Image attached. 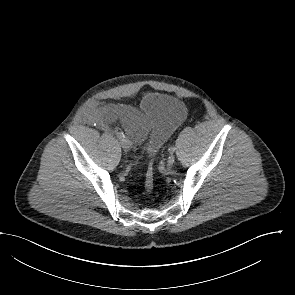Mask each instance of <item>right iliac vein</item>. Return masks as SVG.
<instances>
[{"label": "right iliac vein", "mask_w": 295, "mask_h": 295, "mask_svg": "<svg viewBox=\"0 0 295 295\" xmlns=\"http://www.w3.org/2000/svg\"><path fill=\"white\" fill-rule=\"evenodd\" d=\"M121 145L125 151H129V149L131 147V142L128 139H124V140H122Z\"/></svg>", "instance_id": "right-iliac-vein-1"}]
</instances>
